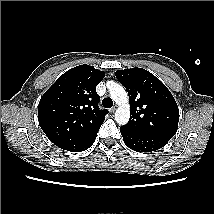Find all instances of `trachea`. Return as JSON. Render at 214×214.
Instances as JSON below:
<instances>
[{
  "instance_id": "obj_1",
  "label": "trachea",
  "mask_w": 214,
  "mask_h": 214,
  "mask_svg": "<svg viewBox=\"0 0 214 214\" xmlns=\"http://www.w3.org/2000/svg\"><path fill=\"white\" fill-rule=\"evenodd\" d=\"M102 105L106 108H110L113 106V101L110 98H104L102 100Z\"/></svg>"
}]
</instances>
